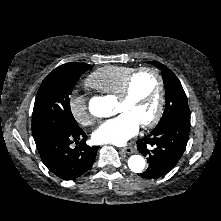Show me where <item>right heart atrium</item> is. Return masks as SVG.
I'll list each match as a JSON object with an SVG mask.
<instances>
[{"instance_id":"1","label":"right heart atrium","mask_w":221,"mask_h":221,"mask_svg":"<svg viewBox=\"0 0 221 221\" xmlns=\"http://www.w3.org/2000/svg\"><path fill=\"white\" fill-rule=\"evenodd\" d=\"M68 108L77 123L82 126H89L95 122V117L88 107L87 98L73 91L68 98Z\"/></svg>"}]
</instances>
